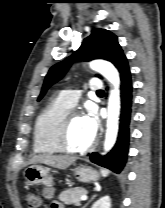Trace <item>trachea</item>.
I'll return each instance as SVG.
<instances>
[{
  "label": "trachea",
  "mask_w": 165,
  "mask_h": 208,
  "mask_svg": "<svg viewBox=\"0 0 165 208\" xmlns=\"http://www.w3.org/2000/svg\"><path fill=\"white\" fill-rule=\"evenodd\" d=\"M103 93H104L103 90L97 92V94H103Z\"/></svg>",
  "instance_id": "3493384b"
}]
</instances>
